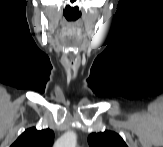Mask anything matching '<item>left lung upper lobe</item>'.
Masks as SVG:
<instances>
[{"label":"left lung upper lobe","mask_w":163,"mask_h":147,"mask_svg":"<svg viewBox=\"0 0 163 147\" xmlns=\"http://www.w3.org/2000/svg\"><path fill=\"white\" fill-rule=\"evenodd\" d=\"M88 142L91 147H127L121 136L112 131L91 133Z\"/></svg>","instance_id":"left-lung-upper-lobe-1"}]
</instances>
